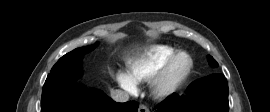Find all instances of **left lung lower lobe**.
I'll return each instance as SVG.
<instances>
[{
    "instance_id": "obj_1",
    "label": "left lung lower lobe",
    "mask_w": 270,
    "mask_h": 112,
    "mask_svg": "<svg viewBox=\"0 0 270 112\" xmlns=\"http://www.w3.org/2000/svg\"><path fill=\"white\" fill-rule=\"evenodd\" d=\"M157 112H229L227 80L212 74L194 81L186 95L173 93L157 106Z\"/></svg>"
}]
</instances>
